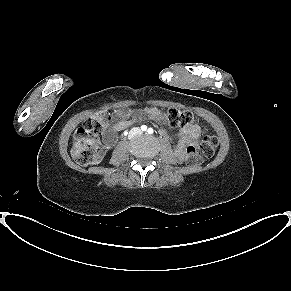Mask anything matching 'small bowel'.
Instances as JSON below:
<instances>
[{"label": "small bowel", "instance_id": "obj_1", "mask_svg": "<svg viewBox=\"0 0 291 291\" xmlns=\"http://www.w3.org/2000/svg\"><path fill=\"white\" fill-rule=\"evenodd\" d=\"M145 116L154 119H163L160 111L157 108L151 107L144 111H131L128 109H119L115 112L114 122L111 126V131L105 134V142L113 144L115 142V133L127 128L131 121H138ZM162 133L165 131L162 130ZM201 134V127L198 124H192L180 129L178 143L176 145V153L182 155L184 149L191 144L196 143Z\"/></svg>", "mask_w": 291, "mask_h": 291}]
</instances>
